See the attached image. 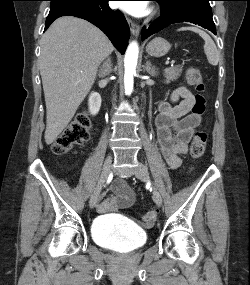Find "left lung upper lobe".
<instances>
[{"label":"left lung upper lobe","mask_w":250,"mask_h":285,"mask_svg":"<svg viewBox=\"0 0 250 285\" xmlns=\"http://www.w3.org/2000/svg\"><path fill=\"white\" fill-rule=\"evenodd\" d=\"M160 3L162 12L166 14H173L184 9L195 7L212 11L209 4L210 0H155Z\"/></svg>","instance_id":"left-lung-upper-lobe-1"}]
</instances>
